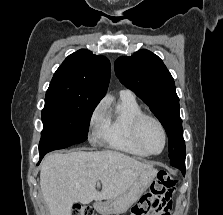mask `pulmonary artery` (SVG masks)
I'll use <instances>...</instances> for the list:
<instances>
[{
	"instance_id": "pulmonary-artery-1",
	"label": "pulmonary artery",
	"mask_w": 223,
	"mask_h": 215,
	"mask_svg": "<svg viewBox=\"0 0 223 215\" xmlns=\"http://www.w3.org/2000/svg\"><path fill=\"white\" fill-rule=\"evenodd\" d=\"M120 94H121V95L132 96V93H131L130 91H128V90H121V91H120Z\"/></svg>"
}]
</instances>
